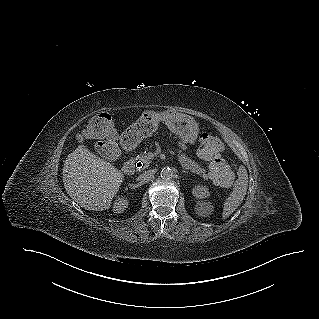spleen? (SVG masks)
Masks as SVG:
<instances>
[{
  "mask_svg": "<svg viewBox=\"0 0 319 319\" xmlns=\"http://www.w3.org/2000/svg\"><path fill=\"white\" fill-rule=\"evenodd\" d=\"M238 179L235 182L233 191L224 202L223 219L229 217L242 203L248 188V174L244 166L238 169Z\"/></svg>",
  "mask_w": 319,
  "mask_h": 319,
  "instance_id": "1",
  "label": "spleen"
}]
</instances>
